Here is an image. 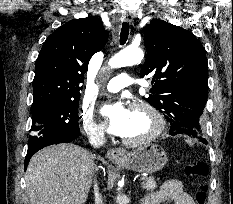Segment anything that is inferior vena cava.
I'll return each instance as SVG.
<instances>
[{
  "mask_svg": "<svg viewBox=\"0 0 233 204\" xmlns=\"http://www.w3.org/2000/svg\"><path fill=\"white\" fill-rule=\"evenodd\" d=\"M90 143L91 145H93V147H101L104 143H105V138H104V134L103 132H94L91 134V136L89 137ZM95 169V168H94ZM94 190L97 194V204H102V199L101 196H99L98 194V187L97 184L95 183L94 185Z\"/></svg>",
  "mask_w": 233,
  "mask_h": 204,
  "instance_id": "inferior-vena-cava-1",
  "label": "inferior vena cava"
}]
</instances>
